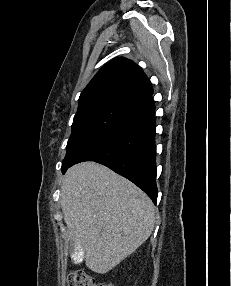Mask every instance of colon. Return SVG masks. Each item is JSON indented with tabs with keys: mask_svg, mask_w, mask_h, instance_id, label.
<instances>
[{
	"mask_svg": "<svg viewBox=\"0 0 231 286\" xmlns=\"http://www.w3.org/2000/svg\"><path fill=\"white\" fill-rule=\"evenodd\" d=\"M67 284L68 286H114L110 283L99 282L82 270L71 272Z\"/></svg>",
	"mask_w": 231,
	"mask_h": 286,
	"instance_id": "5ec220e1",
	"label": "colon"
}]
</instances>
